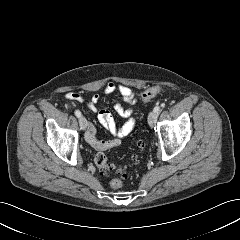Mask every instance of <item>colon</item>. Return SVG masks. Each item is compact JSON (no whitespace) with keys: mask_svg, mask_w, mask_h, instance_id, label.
Instances as JSON below:
<instances>
[{"mask_svg":"<svg viewBox=\"0 0 240 240\" xmlns=\"http://www.w3.org/2000/svg\"><path fill=\"white\" fill-rule=\"evenodd\" d=\"M161 89L159 87H150L144 90L141 94L142 101L149 102L153 100L159 93ZM95 164L103 173H109L113 168L109 164L107 157L103 153H98L94 158ZM118 173L120 177H115L111 180L110 185L114 189H119L123 185V179L128 175V169L126 167L119 168Z\"/></svg>","mask_w":240,"mask_h":240,"instance_id":"5ec220e1","label":"colon"}]
</instances>
